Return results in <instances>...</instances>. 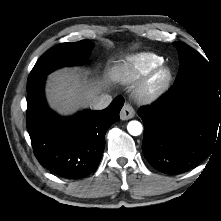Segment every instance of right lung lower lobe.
I'll return each instance as SVG.
<instances>
[{
  "label": "right lung lower lobe",
  "mask_w": 221,
  "mask_h": 221,
  "mask_svg": "<svg viewBox=\"0 0 221 221\" xmlns=\"http://www.w3.org/2000/svg\"><path fill=\"white\" fill-rule=\"evenodd\" d=\"M45 78L27 87V129L36 158L51 173L81 179L99 165L108 128L119 120L121 96L101 111H83L70 118L52 112L44 97Z\"/></svg>",
  "instance_id": "right-lung-lower-lobe-1"
}]
</instances>
